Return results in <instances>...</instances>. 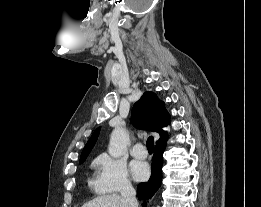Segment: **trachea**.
I'll return each mask as SVG.
<instances>
[{
	"instance_id": "trachea-1",
	"label": "trachea",
	"mask_w": 261,
	"mask_h": 207,
	"mask_svg": "<svg viewBox=\"0 0 261 207\" xmlns=\"http://www.w3.org/2000/svg\"><path fill=\"white\" fill-rule=\"evenodd\" d=\"M146 144H147L148 151L153 152V150H154V138H153V136L148 137Z\"/></svg>"
}]
</instances>
